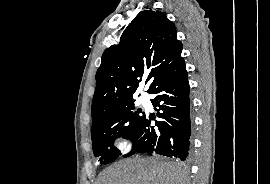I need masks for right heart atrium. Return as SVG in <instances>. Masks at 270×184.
<instances>
[{"instance_id": "d8ad5b80", "label": "right heart atrium", "mask_w": 270, "mask_h": 184, "mask_svg": "<svg viewBox=\"0 0 270 184\" xmlns=\"http://www.w3.org/2000/svg\"><path fill=\"white\" fill-rule=\"evenodd\" d=\"M115 148L121 152L125 153L130 150L131 148V142L130 140L125 136H119L116 138L115 141Z\"/></svg>"}]
</instances>
